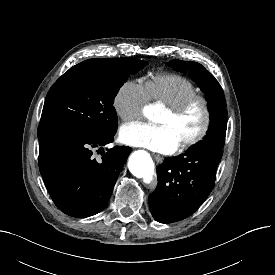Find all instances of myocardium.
Listing matches in <instances>:
<instances>
[{"mask_svg": "<svg viewBox=\"0 0 275 275\" xmlns=\"http://www.w3.org/2000/svg\"><path fill=\"white\" fill-rule=\"evenodd\" d=\"M195 103H200L202 105L203 113H204L203 123L200 129L198 130V132L194 136L184 140L179 144L178 147L181 150H185L196 145L208 133L212 122V108H211L210 101L206 96L200 93H195L184 98L180 102L173 105L166 106L165 108L173 116H179Z\"/></svg>", "mask_w": 275, "mask_h": 275, "instance_id": "obj_1", "label": "myocardium"}]
</instances>
